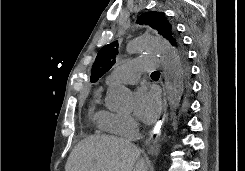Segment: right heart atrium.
<instances>
[{
	"instance_id": "1",
	"label": "right heart atrium",
	"mask_w": 245,
	"mask_h": 171,
	"mask_svg": "<svg viewBox=\"0 0 245 171\" xmlns=\"http://www.w3.org/2000/svg\"><path fill=\"white\" fill-rule=\"evenodd\" d=\"M103 130L126 138L136 135L138 125L129 115L111 113L104 121Z\"/></svg>"
}]
</instances>
